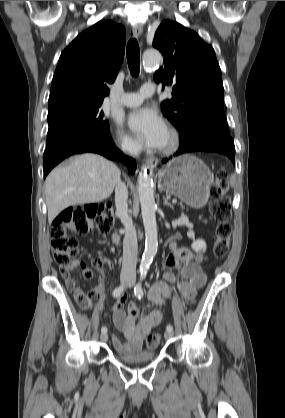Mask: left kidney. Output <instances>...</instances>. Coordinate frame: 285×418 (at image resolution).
Wrapping results in <instances>:
<instances>
[{"label": "left kidney", "mask_w": 285, "mask_h": 418, "mask_svg": "<svg viewBox=\"0 0 285 418\" xmlns=\"http://www.w3.org/2000/svg\"><path fill=\"white\" fill-rule=\"evenodd\" d=\"M206 247V242L202 239L194 241L191 245V248L196 252H205Z\"/></svg>", "instance_id": "left-kidney-1"}]
</instances>
